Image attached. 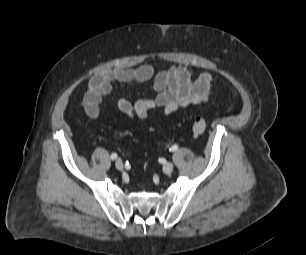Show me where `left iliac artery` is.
I'll list each match as a JSON object with an SVG mask.
<instances>
[{
	"mask_svg": "<svg viewBox=\"0 0 306 255\" xmlns=\"http://www.w3.org/2000/svg\"><path fill=\"white\" fill-rule=\"evenodd\" d=\"M178 149V145L174 144L170 147V151H176Z\"/></svg>",
	"mask_w": 306,
	"mask_h": 255,
	"instance_id": "1",
	"label": "left iliac artery"
}]
</instances>
